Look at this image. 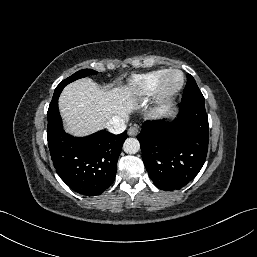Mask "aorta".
<instances>
[{"label": "aorta", "mask_w": 257, "mask_h": 257, "mask_svg": "<svg viewBox=\"0 0 257 257\" xmlns=\"http://www.w3.org/2000/svg\"><path fill=\"white\" fill-rule=\"evenodd\" d=\"M123 149L128 154H135L140 149V143L136 138H127L123 144Z\"/></svg>", "instance_id": "762f6f07"}]
</instances>
